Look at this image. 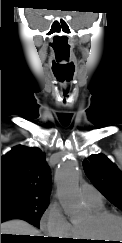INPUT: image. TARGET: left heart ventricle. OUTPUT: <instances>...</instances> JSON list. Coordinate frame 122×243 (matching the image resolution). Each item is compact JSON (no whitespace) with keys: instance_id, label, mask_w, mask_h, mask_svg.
<instances>
[{"instance_id":"left-heart-ventricle-1","label":"left heart ventricle","mask_w":122,"mask_h":243,"mask_svg":"<svg viewBox=\"0 0 122 243\" xmlns=\"http://www.w3.org/2000/svg\"><path fill=\"white\" fill-rule=\"evenodd\" d=\"M91 224V217H89L80 227L84 228ZM96 234L104 239H122V221L116 218H109L98 227ZM105 242L116 243V241Z\"/></svg>"}]
</instances>
